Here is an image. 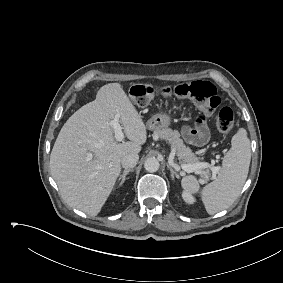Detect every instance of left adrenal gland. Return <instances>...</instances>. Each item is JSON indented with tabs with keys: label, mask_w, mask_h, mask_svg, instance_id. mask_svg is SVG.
Segmentation results:
<instances>
[{
	"label": "left adrenal gland",
	"mask_w": 283,
	"mask_h": 283,
	"mask_svg": "<svg viewBox=\"0 0 283 283\" xmlns=\"http://www.w3.org/2000/svg\"><path fill=\"white\" fill-rule=\"evenodd\" d=\"M167 167L170 169L172 180H174V177H176L178 179L180 178L179 174L177 172H175L170 165H167Z\"/></svg>",
	"instance_id": "left-adrenal-gland-1"
}]
</instances>
